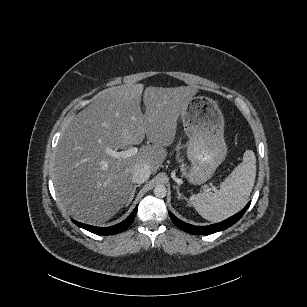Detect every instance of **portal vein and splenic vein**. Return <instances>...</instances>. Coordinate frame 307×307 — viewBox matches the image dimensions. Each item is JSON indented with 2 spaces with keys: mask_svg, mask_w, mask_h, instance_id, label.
Returning a JSON list of instances; mask_svg holds the SVG:
<instances>
[{
  "mask_svg": "<svg viewBox=\"0 0 307 307\" xmlns=\"http://www.w3.org/2000/svg\"><path fill=\"white\" fill-rule=\"evenodd\" d=\"M137 153H138V148L137 147H132V148H129V149L123 150V151H114V150H110L109 151V154L112 157H114V158H116L118 160L134 156ZM208 186H210V190L215 191V192L218 189V187L215 186L212 183H209L208 185H203V188L208 187Z\"/></svg>",
  "mask_w": 307,
  "mask_h": 307,
  "instance_id": "obj_1",
  "label": "portal vein and splenic vein"
}]
</instances>
